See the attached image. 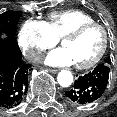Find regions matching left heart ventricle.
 Returning a JSON list of instances; mask_svg holds the SVG:
<instances>
[{"label":"left heart ventricle","instance_id":"1","mask_svg":"<svg viewBox=\"0 0 117 117\" xmlns=\"http://www.w3.org/2000/svg\"><path fill=\"white\" fill-rule=\"evenodd\" d=\"M103 43V34L91 28L75 39H67L63 46L70 52L75 64L89 62L98 53Z\"/></svg>","mask_w":117,"mask_h":117}]
</instances>
